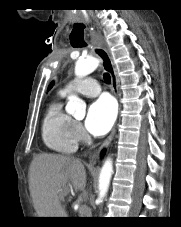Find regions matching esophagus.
<instances>
[{"label":"esophagus","mask_w":181,"mask_h":227,"mask_svg":"<svg viewBox=\"0 0 181 227\" xmlns=\"http://www.w3.org/2000/svg\"><path fill=\"white\" fill-rule=\"evenodd\" d=\"M96 41H97V46L95 47L96 54L99 56L102 66L105 71H107L110 76H111V84H112V90L114 95L119 98V84L117 80V75L115 71V67L111 58V55L109 53V50L107 49L102 37L100 35H96ZM116 133V126H114L113 130L111 131L110 135L108 138L103 142L101 147L99 148L98 151H96L91 159H96L104 147L108 146V144L111 142L113 139L114 135Z\"/></svg>","instance_id":"obj_1"}]
</instances>
